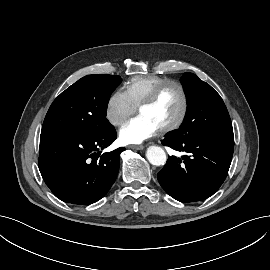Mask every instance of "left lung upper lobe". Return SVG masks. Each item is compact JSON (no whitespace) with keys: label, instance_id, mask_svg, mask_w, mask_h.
I'll return each mask as SVG.
<instances>
[{"label":"left lung upper lobe","instance_id":"left-lung-upper-lobe-1","mask_svg":"<svg viewBox=\"0 0 270 270\" xmlns=\"http://www.w3.org/2000/svg\"><path fill=\"white\" fill-rule=\"evenodd\" d=\"M181 82L187 91L189 105L183 124L172 132L173 135L183 139L191 132L233 134L230 116L220 95L193 73H185Z\"/></svg>","mask_w":270,"mask_h":270}]
</instances>
